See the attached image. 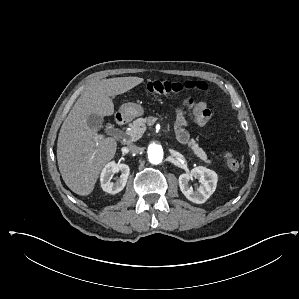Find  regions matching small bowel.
Returning a JSON list of instances; mask_svg holds the SVG:
<instances>
[{
	"mask_svg": "<svg viewBox=\"0 0 299 299\" xmlns=\"http://www.w3.org/2000/svg\"><path fill=\"white\" fill-rule=\"evenodd\" d=\"M185 109H188L193 117L194 121L200 125H206L212 118V110L210 109L207 101H194L187 99L184 101V107L176 110L175 118V134L179 142L187 143L189 140V134L185 129L187 125V119L185 117Z\"/></svg>",
	"mask_w": 299,
	"mask_h": 299,
	"instance_id": "obj_1",
	"label": "small bowel"
}]
</instances>
